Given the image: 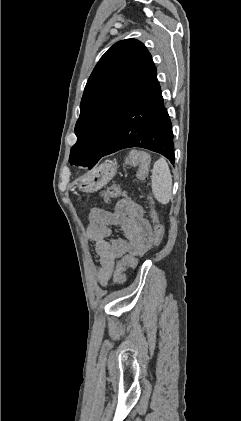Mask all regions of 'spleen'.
<instances>
[{
	"label": "spleen",
	"mask_w": 241,
	"mask_h": 421,
	"mask_svg": "<svg viewBox=\"0 0 241 421\" xmlns=\"http://www.w3.org/2000/svg\"><path fill=\"white\" fill-rule=\"evenodd\" d=\"M152 192L161 204H168L172 197V176L165 159L157 160L152 169Z\"/></svg>",
	"instance_id": "obj_1"
}]
</instances>
